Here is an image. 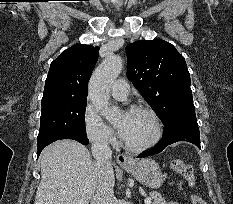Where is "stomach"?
I'll list each match as a JSON object with an SVG mask.
<instances>
[{
    "mask_svg": "<svg viewBox=\"0 0 233 204\" xmlns=\"http://www.w3.org/2000/svg\"><path fill=\"white\" fill-rule=\"evenodd\" d=\"M123 168L128 173H131L140 183L153 189L159 188L164 181V175L159 165L152 159L136 161L132 165L124 166Z\"/></svg>",
    "mask_w": 233,
    "mask_h": 204,
    "instance_id": "obj_1",
    "label": "stomach"
}]
</instances>
